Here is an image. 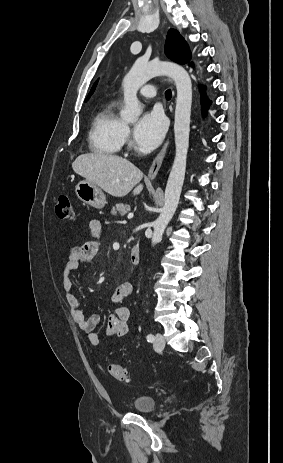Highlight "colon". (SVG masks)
Here are the masks:
<instances>
[{
	"instance_id": "1",
	"label": "colon",
	"mask_w": 283,
	"mask_h": 463,
	"mask_svg": "<svg viewBox=\"0 0 283 463\" xmlns=\"http://www.w3.org/2000/svg\"><path fill=\"white\" fill-rule=\"evenodd\" d=\"M56 215L60 220H71L74 217V211L72 206V201L70 197L66 195H61L58 198L56 206ZM110 375L120 381L128 382L129 378L125 369L119 364H110L108 367Z\"/></svg>"
}]
</instances>
